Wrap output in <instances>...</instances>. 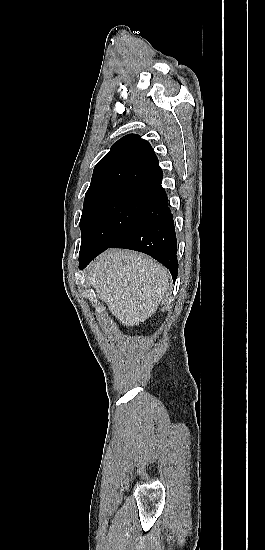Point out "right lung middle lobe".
I'll list each match as a JSON object with an SVG mask.
<instances>
[{"label":"right lung middle lobe","mask_w":265,"mask_h":550,"mask_svg":"<svg viewBox=\"0 0 265 550\" xmlns=\"http://www.w3.org/2000/svg\"><path fill=\"white\" fill-rule=\"evenodd\" d=\"M159 192V186L127 187L84 200L79 258L108 248L135 224Z\"/></svg>","instance_id":"right-lung-middle-lobe-1"}]
</instances>
